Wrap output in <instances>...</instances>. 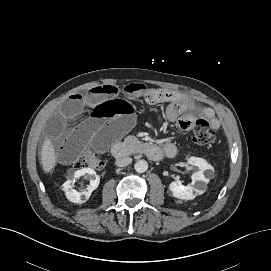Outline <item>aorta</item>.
<instances>
[{"label":"aorta","instance_id":"762f6f07","mask_svg":"<svg viewBox=\"0 0 271 271\" xmlns=\"http://www.w3.org/2000/svg\"><path fill=\"white\" fill-rule=\"evenodd\" d=\"M135 171L138 173H144L148 169V163L145 160H139L134 165Z\"/></svg>","mask_w":271,"mask_h":271}]
</instances>
